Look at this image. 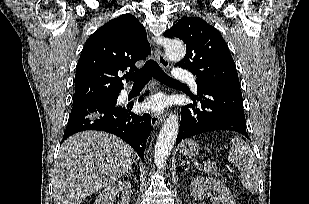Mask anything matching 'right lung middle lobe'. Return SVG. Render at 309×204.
<instances>
[{"mask_svg": "<svg viewBox=\"0 0 309 204\" xmlns=\"http://www.w3.org/2000/svg\"><path fill=\"white\" fill-rule=\"evenodd\" d=\"M117 95H118V94L105 96V97H102V98H99V99H96V100H93V101H90V102H95V101H109V100L114 99ZM87 103H88V102H87Z\"/></svg>", "mask_w": 309, "mask_h": 204, "instance_id": "dd1d6c3e", "label": "right lung middle lobe"}]
</instances>
